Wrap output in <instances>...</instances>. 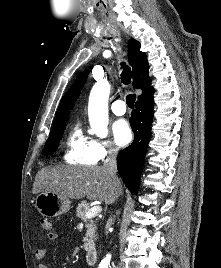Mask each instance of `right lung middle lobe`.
Wrapping results in <instances>:
<instances>
[{
  "label": "right lung middle lobe",
  "instance_id": "1",
  "mask_svg": "<svg viewBox=\"0 0 221 268\" xmlns=\"http://www.w3.org/2000/svg\"><path fill=\"white\" fill-rule=\"evenodd\" d=\"M65 127H66V122L53 127L49 135V138L47 140V143L42 152L44 155H49L56 151L59 145L60 139L62 138Z\"/></svg>",
  "mask_w": 221,
  "mask_h": 268
}]
</instances>
